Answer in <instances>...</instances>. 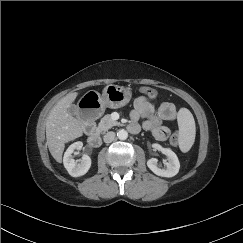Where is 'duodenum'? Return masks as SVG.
Returning a JSON list of instances; mask_svg holds the SVG:
<instances>
[{
    "label": "duodenum",
    "instance_id": "1",
    "mask_svg": "<svg viewBox=\"0 0 243 243\" xmlns=\"http://www.w3.org/2000/svg\"><path fill=\"white\" fill-rule=\"evenodd\" d=\"M93 128H94V124L93 123L88 122L86 124V129L89 132L88 143L92 147H99L101 145V143H102V140H101L100 135L97 132L92 131Z\"/></svg>",
    "mask_w": 243,
    "mask_h": 243
}]
</instances>
